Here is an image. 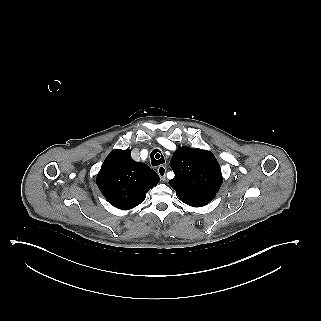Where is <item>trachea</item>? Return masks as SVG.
Segmentation results:
<instances>
[{"label":"trachea","mask_w":321,"mask_h":321,"mask_svg":"<svg viewBox=\"0 0 321 321\" xmlns=\"http://www.w3.org/2000/svg\"><path fill=\"white\" fill-rule=\"evenodd\" d=\"M152 166H159L164 163V157L157 149L153 150L150 154Z\"/></svg>","instance_id":"trachea-1"}]
</instances>
